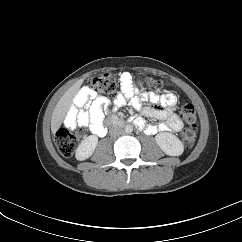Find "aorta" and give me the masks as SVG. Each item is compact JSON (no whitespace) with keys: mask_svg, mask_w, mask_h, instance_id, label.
Returning a JSON list of instances; mask_svg holds the SVG:
<instances>
[{"mask_svg":"<svg viewBox=\"0 0 242 242\" xmlns=\"http://www.w3.org/2000/svg\"><path fill=\"white\" fill-rule=\"evenodd\" d=\"M124 130H125L126 133H132L133 132V126L132 125H126Z\"/></svg>","mask_w":242,"mask_h":242,"instance_id":"762f6f07","label":"aorta"}]
</instances>
